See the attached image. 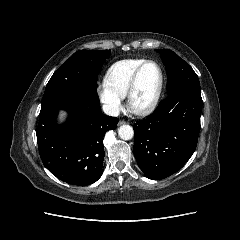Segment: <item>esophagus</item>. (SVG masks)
Instances as JSON below:
<instances>
[{
  "instance_id": "34e87169",
  "label": "esophagus",
  "mask_w": 240,
  "mask_h": 240,
  "mask_svg": "<svg viewBox=\"0 0 240 240\" xmlns=\"http://www.w3.org/2000/svg\"><path fill=\"white\" fill-rule=\"evenodd\" d=\"M125 123H126V121L120 120L118 124H119V125H122V124H125Z\"/></svg>"
}]
</instances>
